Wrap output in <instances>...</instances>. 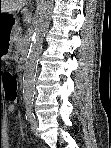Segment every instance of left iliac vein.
<instances>
[{
	"label": "left iliac vein",
	"instance_id": "obj_1",
	"mask_svg": "<svg viewBox=\"0 0 111 148\" xmlns=\"http://www.w3.org/2000/svg\"><path fill=\"white\" fill-rule=\"evenodd\" d=\"M37 127H38V124L37 122L34 120L32 123H31V130L33 133L37 134Z\"/></svg>",
	"mask_w": 111,
	"mask_h": 148
}]
</instances>
